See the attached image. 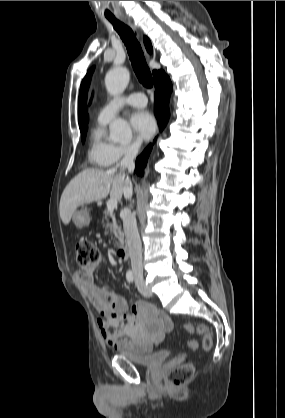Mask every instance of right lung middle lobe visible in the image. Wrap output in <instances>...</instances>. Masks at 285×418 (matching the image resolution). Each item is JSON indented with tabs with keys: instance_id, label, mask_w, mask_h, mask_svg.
<instances>
[{
	"instance_id": "1",
	"label": "right lung middle lobe",
	"mask_w": 285,
	"mask_h": 418,
	"mask_svg": "<svg viewBox=\"0 0 285 418\" xmlns=\"http://www.w3.org/2000/svg\"><path fill=\"white\" fill-rule=\"evenodd\" d=\"M86 130H87V126L80 128L82 142H84V140H85Z\"/></svg>"
}]
</instances>
